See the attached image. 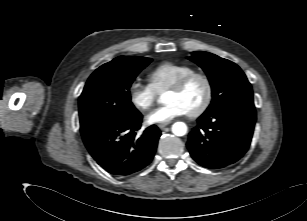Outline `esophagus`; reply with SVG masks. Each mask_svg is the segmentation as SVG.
<instances>
[{
	"label": "esophagus",
	"instance_id": "obj_1",
	"mask_svg": "<svg viewBox=\"0 0 307 221\" xmlns=\"http://www.w3.org/2000/svg\"><path fill=\"white\" fill-rule=\"evenodd\" d=\"M170 124V122H168V123H162V124H159L158 125V127L160 128V129H165L168 125Z\"/></svg>",
	"mask_w": 307,
	"mask_h": 221
}]
</instances>
